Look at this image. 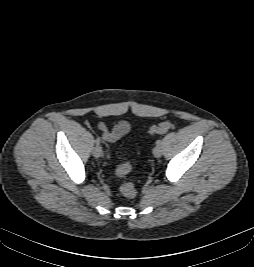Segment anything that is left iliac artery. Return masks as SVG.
<instances>
[{"label": "left iliac artery", "instance_id": "1", "mask_svg": "<svg viewBox=\"0 0 254 267\" xmlns=\"http://www.w3.org/2000/svg\"><path fill=\"white\" fill-rule=\"evenodd\" d=\"M156 144H157V145H161V144H162V140H157V141H156Z\"/></svg>", "mask_w": 254, "mask_h": 267}]
</instances>
